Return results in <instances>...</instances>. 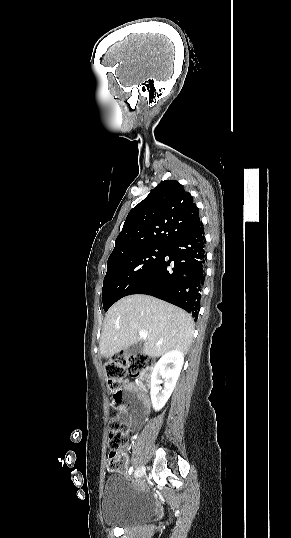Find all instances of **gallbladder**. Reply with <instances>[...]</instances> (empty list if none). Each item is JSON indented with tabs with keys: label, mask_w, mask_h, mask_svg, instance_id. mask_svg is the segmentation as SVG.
<instances>
[{
	"label": "gallbladder",
	"mask_w": 291,
	"mask_h": 538,
	"mask_svg": "<svg viewBox=\"0 0 291 538\" xmlns=\"http://www.w3.org/2000/svg\"><path fill=\"white\" fill-rule=\"evenodd\" d=\"M142 348V344L140 342H137L128 348L127 353L129 355H135L140 353L142 351Z\"/></svg>",
	"instance_id": "obj_1"
}]
</instances>
